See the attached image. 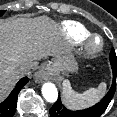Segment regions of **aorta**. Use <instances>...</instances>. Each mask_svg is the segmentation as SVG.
<instances>
[{
    "label": "aorta",
    "mask_w": 117,
    "mask_h": 117,
    "mask_svg": "<svg viewBox=\"0 0 117 117\" xmlns=\"http://www.w3.org/2000/svg\"><path fill=\"white\" fill-rule=\"evenodd\" d=\"M42 95L47 102L54 103L58 98L56 86L51 82H46L42 86Z\"/></svg>",
    "instance_id": "762f6f07"
}]
</instances>
